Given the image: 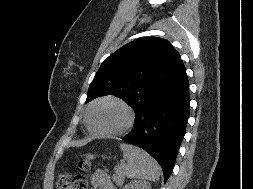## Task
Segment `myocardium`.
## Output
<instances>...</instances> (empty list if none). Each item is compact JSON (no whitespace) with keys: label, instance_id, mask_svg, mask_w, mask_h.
Returning a JSON list of instances; mask_svg holds the SVG:
<instances>
[{"label":"myocardium","instance_id":"1","mask_svg":"<svg viewBox=\"0 0 253 189\" xmlns=\"http://www.w3.org/2000/svg\"><path fill=\"white\" fill-rule=\"evenodd\" d=\"M105 102L116 103V104L120 105L126 112L127 118H126L125 124L121 128H119L115 131L100 132V131H97L91 123V113H92L93 109L96 106H98L99 104H102ZM134 121H135V114H134V111L131 108V106L128 105L124 100H122L118 97H114V96L102 97V98L96 100L95 102H93L89 106V108L86 112V116H85V122H86V126H87L88 130L92 134H94L95 136L104 137V138L117 137V136H121V135L125 134L126 132H128L132 128Z\"/></svg>","mask_w":253,"mask_h":189}]
</instances>
